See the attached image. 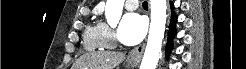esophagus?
Here are the masks:
<instances>
[{
  "label": "esophagus",
  "mask_w": 246,
  "mask_h": 69,
  "mask_svg": "<svg viewBox=\"0 0 246 69\" xmlns=\"http://www.w3.org/2000/svg\"><path fill=\"white\" fill-rule=\"evenodd\" d=\"M144 48H145V44H142L140 46H137L135 48H133L130 52H129V55H128V60L130 62H136V63H139L141 58H142V55H143V52H144Z\"/></svg>",
  "instance_id": "esophagus-1"
}]
</instances>
